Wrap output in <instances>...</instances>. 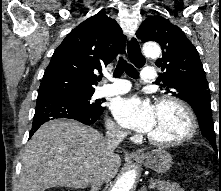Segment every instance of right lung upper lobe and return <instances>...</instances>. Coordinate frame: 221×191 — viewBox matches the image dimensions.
<instances>
[{
    "mask_svg": "<svg viewBox=\"0 0 221 191\" xmlns=\"http://www.w3.org/2000/svg\"><path fill=\"white\" fill-rule=\"evenodd\" d=\"M125 40L118 23L106 14L88 18L55 50L38 93L95 91L94 71L101 72L118 53H124Z\"/></svg>",
    "mask_w": 221,
    "mask_h": 191,
    "instance_id": "1",
    "label": "right lung upper lobe"
}]
</instances>
